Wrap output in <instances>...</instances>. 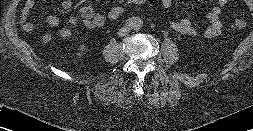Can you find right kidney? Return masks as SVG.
I'll return each instance as SVG.
<instances>
[{"label":"right kidney","mask_w":253,"mask_h":131,"mask_svg":"<svg viewBox=\"0 0 253 131\" xmlns=\"http://www.w3.org/2000/svg\"><path fill=\"white\" fill-rule=\"evenodd\" d=\"M80 49L82 50V49H85V46L84 45H82L81 47H80Z\"/></svg>","instance_id":"1"}]
</instances>
